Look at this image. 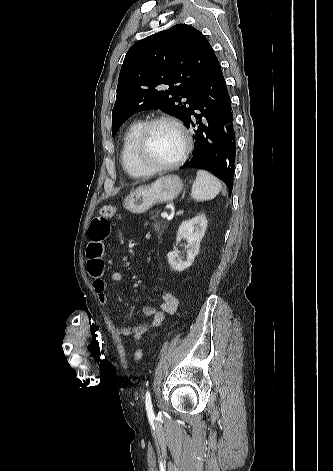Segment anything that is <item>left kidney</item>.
Here are the masks:
<instances>
[{
	"mask_svg": "<svg viewBox=\"0 0 333 471\" xmlns=\"http://www.w3.org/2000/svg\"><path fill=\"white\" fill-rule=\"evenodd\" d=\"M207 228V218L204 214H200L188 221H184L179 226L176 241L182 238L187 239L188 249L185 261L179 259V252L173 250L167 254V259L170 267L177 271L182 272L190 267L199 252L200 242L203 239Z\"/></svg>",
	"mask_w": 333,
	"mask_h": 471,
	"instance_id": "1",
	"label": "left kidney"
}]
</instances>
